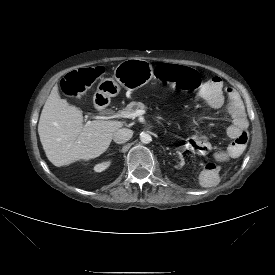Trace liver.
Masks as SVG:
<instances>
[{"label":"liver","instance_id":"obj_1","mask_svg":"<svg viewBox=\"0 0 275 275\" xmlns=\"http://www.w3.org/2000/svg\"><path fill=\"white\" fill-rule=\"evenodd\" d=\"M123 123L93 120L83 124L82 111L60 97L55 85L42 109L38 134L48 160L61 167L103 154Z\"/></svg>","mask_w":275,"mask_h":275}]
</instances>
